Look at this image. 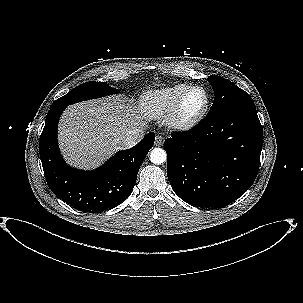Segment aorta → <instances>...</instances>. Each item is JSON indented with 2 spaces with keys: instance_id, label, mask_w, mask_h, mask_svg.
<instances>
[{
  "instance_id": "obj_1",
  "label": "aorta",
  "mask_w": 303,
  "mask_h": 303,
  "mask_svg": "<svg viewBox=\"0 0 303 303\" xmlns=\"http://www.w3.org/2000/svg\"><path fill=\"white\" fill-rule=\"evenodd\" d=\"M150 160L153 164L160 165L167 160V154L162 148H154L150 153Z\"/></svg>"
}]
</instances>
